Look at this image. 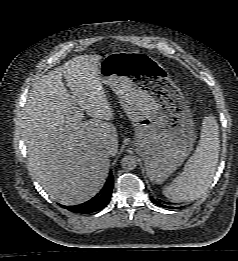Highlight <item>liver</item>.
<instances>
[{"mask_svg":"<svg viewBox=\"0 0 238 261\" xmlns=\"http://www.w3.org/2000/svg\"><path fill=\"white\" fill-rule=\"evenodd\" d=\"M101 59L99 55L76 56L40 77L21 118L29 172L64 205L95 196L108 176L110 155L118 151L117 130L110 122L114 112L98 74ZM75 103L92 118L78 120Z\"/></svg>","mask_w":238,"mask_h":261,"instance_id":"liver-1","label":"liver"}]
</instances>
